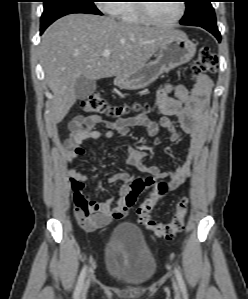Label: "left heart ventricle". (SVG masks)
<instances>
[{
    "instance_id": "obj_1",
    "label": "left heart ventricle",
    "mask_w": 248,
    "mask_h": 299,
    "mask_svg": "<svg viewBox=\"0 0 248 299\" xmlns=\"http://www.w3.org/2000/svg\"><path fill=\"white\" fill-rule=\"evenodd\" d=\"M151 13L162 21L175 18L179 13L178 1H162L150 3Z\"/></svg>"
}]
</instances>
